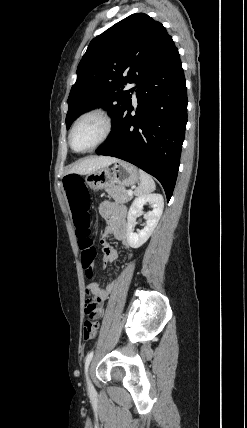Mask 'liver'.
Segmentation results:
<instances>
[{"instance_id": "obj_1", "label": "liver", "mask_w": 247, "mask_h": 428, "mask_svg": "<svg viewBox=\"0 0 247 428\" xmlns=\"http://www.w3.org/2000/svg\"><path fill=\"white\" fill-rule=\"evenodd\" d=\"M118 159L114 157L109 156H98V157H89L86 158L77 164H75L68 173H76V174H89L95 170H98L100 168L109 166L115 162H117Z\"/></svg>"}]
</instances>
